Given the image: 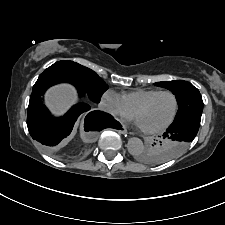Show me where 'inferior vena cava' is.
<instances>
[{
	"label": "inferior vena cava",
	"mask_w": 225,
	"mask_h": 225,
	"mask_svg": "<svg viewBox=\"0 0 225 225\" xmlns=\"http://www.w3.org/2000/svg\"><path fill=\"white\" fill-rule=\"evenodd\" d=\"M99 108H100L101 110H103V111H106V112H112L110 106H109L108 104L104 103V102H101V103L99 104Z\"/></svg>",
	"instance_id": "inferior-vena-cava-1"
}]
</instances>
